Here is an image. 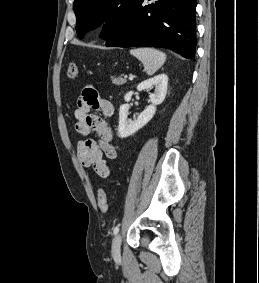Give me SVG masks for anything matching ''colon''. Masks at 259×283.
Wrapping results in <instances>:
<instances>
[{"label":"colon","instance_id":"obj_1","mask_svg":"<svg viewBox=\"0 0 259 283\" xmlns=\"http://www.w3.org/2000/svg\"><path fill=\"white\" fill-rule=\"evenodd\" d=\"M78 75V66L76 63H70L67 69V77L70 80H75ZM98 206L101 211H106L108 208V195L105 189L101 188L98 192Z\"/></svg>","mask_w":259,"mask_h":283}]
</instances>
